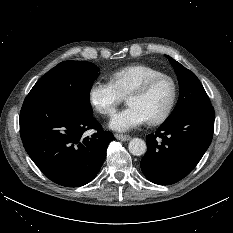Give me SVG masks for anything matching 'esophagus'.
<instances>
[{"mask_svg": "<svg viewBox=\"0 0 233 233\" xmlns=\"http://www.w3.org/2000/svg\"><path fill=\"white\" fill-rule=\"evenodd\" d=\"M115 138L121 141H129L131 137L129 135L115 134Z\"/></svg>", "mask_w": 233, "mask_h": 233, "instance_id": "34e87169", "label": "esophagus"}]
</instances>
